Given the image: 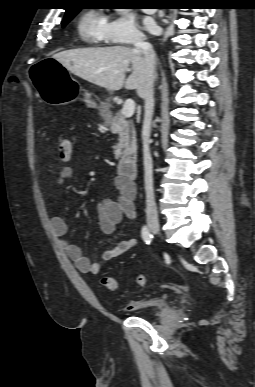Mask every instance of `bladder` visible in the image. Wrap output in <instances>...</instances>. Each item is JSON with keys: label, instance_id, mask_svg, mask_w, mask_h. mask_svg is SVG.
Listing matches in <instances>:
<instances>
[{"label": "bladder", "instance_id": "obj_1", "mask_svg": "<svg viewBox=\"0 0 255 387\" xmlns=\"http://www.w3.org/2000/svg\"><path fill=\"white\" fill-rule=\"evenodd\" d=\"M168 308V302L164 295H153L143 300L137 301L132 310L136 315L146 316L148 314Z\"/></svg>", "mask_w": 255, "mask_h": 387}]
</instances>
